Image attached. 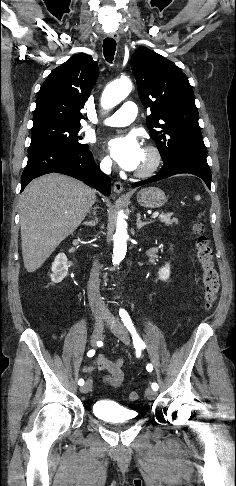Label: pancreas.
<instances>
[{"mask_svg":"<svg viewBox=\"0 0 236 486\" xmlns=\"http://www.w3.org/2000/svg\"><path fill=\"white\" fill-rule=\"evenodd\" d=\"M159 219L161 222L165 223V225L170 226L173 223L178 224V219L173 218L171 219V214L170 213H163L159 216Z\"/></svg>","mask_w":236,"mask_h":486,"instance_id":"pancreas-1","label":"pancreas"}]
</instances>
